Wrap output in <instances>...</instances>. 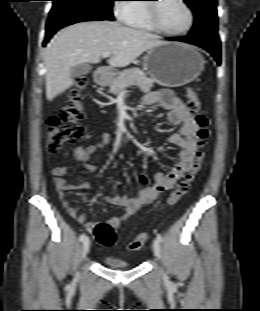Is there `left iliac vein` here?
<instances>
[{
    "label": "left iliac vein",
    "mask_w": 260,
    "mask_h": 311,
    "mask_svg": "<svg viewBox=\"0 0 260 311\" xmlns=\"http://www.w3.org/2000/svg\"><path fill=\"white\" fill-rule=\"evenodd\" d=\"M153 252L158 259L161 258V245L158 239L153 241Z\"/></svg>",
    "instance_id": "1"
}]
</instances>
